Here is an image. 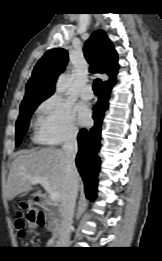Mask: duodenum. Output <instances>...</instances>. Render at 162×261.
<instances>
[{
    "instance_id": "duodenum-1",
    "label": "duodenum",
    "mask_w": 162,
    "mask_h": 261,
    "mask_svg": "<svg viewBox=\"0 0 162 261\" xmlns=\"http://www.w3.org/2000/svg\"><path fill=\"white\" fill-rule=\"evenodd\" d=\"M35 202L36 204L42 208L45 212H43L44 214V223H43V226L42 227H48V228H51L53 231H57L59 232L60 231V225L57 224L55 222V220L53 219V215L55 214V208L54 207H49L47 201H46V198L44 195H37L35 197ZM64 240V237L59 235L58 236V241L60 242V245L63 246V244H61V242Z\"/></svg>"
}]
</instances>
